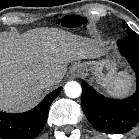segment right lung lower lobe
Wrapping results in <instances>:
<instances>
[{
	"label": "right lung lower lobe",
	"mask_w": 139,
	"mask_h": 139,
	"mask_svg": "<svg viewBox=\"0 0 139 139\" xmlns=\"http://www.w3.org/2000/svg\"><path fill=\"white\" fill-rule=\"evenodd\" d=\"M61 90L62 87L54 90L30 111L19 114L0 112V138L32 139L36 137L46 123L52 101Z\"/></svg>",
	"instance_id": "obj_1"
}]
</instances>
